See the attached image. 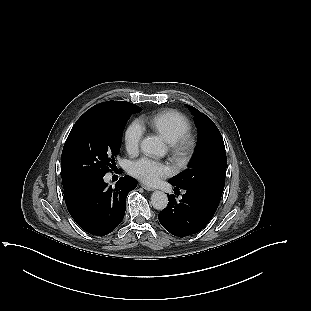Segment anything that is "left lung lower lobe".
Listing matches in <instances>:
<instances>
[{
    "label": "left lung lower lobe",
    "mask_w": 311,
    "mask_h": 311,
    "mask_svg": "<svg viewBox=\"0 0 311 311\" xmlns=\"http://www.w3.org/2000/svg\"><path fill=\"white\" fill-rule=\"evenodd\" d=\"M179 188L175 186V190L178 191ZM185 190L186 193L182 195V200L179 202L174 196L169 195L168 206L158 216L161 225L178 237H185L202 230L219 205V201L197 190Z\"/></svg>",
    "instance_id": "0a47b994"
}]
</instances>
